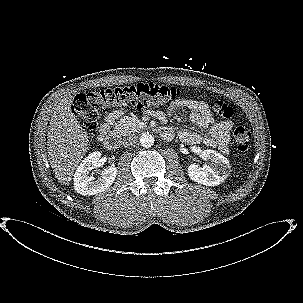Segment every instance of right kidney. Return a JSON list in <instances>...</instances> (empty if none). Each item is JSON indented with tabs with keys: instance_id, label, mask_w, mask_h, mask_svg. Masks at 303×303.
I'll list each match as a JSON object with an SVG mask.
<instances>
[{
	"instance_id": "1",
	"label": "right kidney",
	"mask_w": 303,
	"mask_h": 303,
	"mask_svg": "<svg viewBox=\"0 0 303 303\" xmlns=\"http://www.w3.org/2000/svg\"><path fill=\"white\" fill-rule=\"evenodd\" d=\"M101 153L95 151L89 154L77 167L74 174V188L81 195H95L110 187L115 181L117 169L110 167L105 169L101 176L95 180L93 176H89L92 169L100 166L99 159Z\"/></svg>"
}]
</instances>
